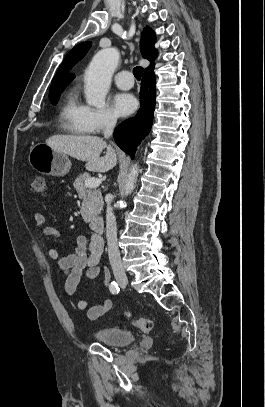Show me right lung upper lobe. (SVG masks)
I'll use <instances>...</instances> for the list:
<instances>
[{
	"instance_id": "right-lung-upper-lobe-1",
	"label": "right lung upper lobe",
	"mask_w": 265,
	"mask_h": 407,
	"mask_svg": "<svg viewBox=\"0 0 265 407\" xmlns=\"http://www.w3.org/2000/svg\"><path fill=\"white\" fill-rule=\"evenodd\" d=\"M156 41L155 33L149 27L145 28L142 32V37L140 41V50L144 58L151 61L150 66L153 65V60L157 56V50L154 47ZM92 43L87 41L75 46L65 57L63 63L61 64L59 70L54 76L51 86L58 84L70 83L75 76L68 74V72L73 68V66L78 63L88 52Z\"/></svg>"
}]
</instances>
